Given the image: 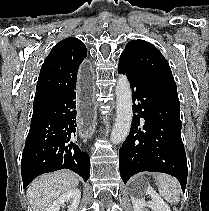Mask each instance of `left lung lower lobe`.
Wrapping results in <instances>:
<instances>
[{
  "label": "left lung lower lobe",
  "instance_id": "0a47b994",
  "mask_svg": "<svg viewBox=\"0 0 209 211\" xmlns=\"http://www.w3.org/2000/svg\"><path fill=\"white\" fill-rule=\"evenodd\" d=\"M118 72L128 77L136 113L119 150L123 182L126 184L131 176L142 171L162 172L175 176L184 192L187 160L180 133L177 91L144 77L124 59L119 60Z\"/></svg>",
  "mask_w": 209,
  "mask_h": 211
}]
</instances>
